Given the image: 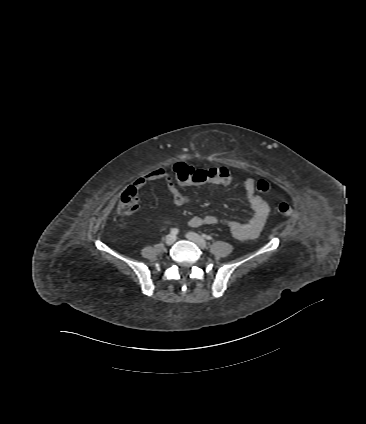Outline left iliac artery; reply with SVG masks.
Here are the masks:
<instances>
[{
	"label": "left iliac artery",
	"instance_id": "1",
	"mask_svg": "<svg viewBox=\"0 0 366 424\" xmlns=\"http://www.w3.org/2000/svg\"><path fill=\"white\" fill-rule=\"evenodd\" d=\"M202 237L206 240H212V237L210 235L203 234Z\"/></svg>",
	"mask_w": 366,
	"mask_h": 424
}]
</instances>
